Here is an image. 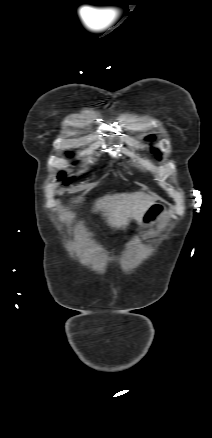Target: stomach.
<instances>
[{"instance_id":"1","label":"stomach","mask_w":212,"mask_h":438,"mask_svg":"<svg viewBox=\"0 0 212 438\" xmlns=\"http://www.w3.org/2000/svg\"><path fill=\"white\" fill-rule=\"evenodd\" d=\"M166 217H168L167 208L161 203L154 202L145 210L140 223L143 228H150Z\"/></svg>"}]
</instances>
